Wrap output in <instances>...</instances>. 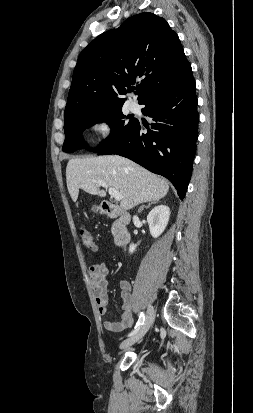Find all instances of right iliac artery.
Segmentation results:
<instances>
[{"label":"right iliac artery","instance_id":"82829eb1","mask_svg":"<svg viewBox=\"0 0 253 413\" xmlns=\"http://www.w3.org/2000/svg\"><path fill=\"white\" fill-rule=\"evenodd\" d=\"M144 321H145V315L143 312H141L134 330L128 336L134 335L140 329V326L143 325Z\"/></svg>","mask_w":253,"mask_h":413}]
</instances>
